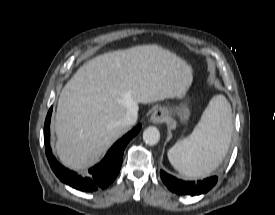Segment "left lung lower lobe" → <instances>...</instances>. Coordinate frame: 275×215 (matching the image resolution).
<instances>
[{"label":"left lung lower lobe","instance_id":"obj_1","mask_svg":"<svg viewBox=\"0 0 275 215\" xmlns=\"http://www.w3.org/2000/svg\"><path fill=\"white\" fill-rule=\"evenodd\" d=\"M161 179L168 189L178 195H200L208 192L216 183L218 178L212 176L198 181H183L160 171Z\"/></svg>","mask_w":275,"mask_h":215}]
</instances>
